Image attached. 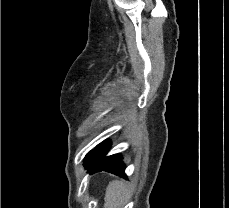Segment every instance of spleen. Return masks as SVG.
I'll use <instances>...</instances> for the list:
<instances>
[{"mask_svg": "<svg viewBox=\"0 0 229 208\" xmlns=\"http://www.w3.org/2000/svg\"><path fill=\"white\" fill-rule=\"evenodd\" d=\"M129 198V192L124 182L113 180L106 188L104 208H124Z\"/></svg>", "mask_w": 229, "mask_h": 208, "instance_id": "1", "label": "spleen"}]
</instances>
